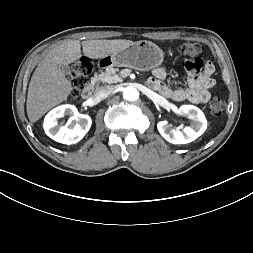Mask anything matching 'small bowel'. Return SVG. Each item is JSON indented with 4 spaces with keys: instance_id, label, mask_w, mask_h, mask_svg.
I'll use <instances>...</instances> for the list:
<instances>
[{
    "instance_id": "c3829d8e",
    "label": "small bowel",
    "mask_w": 253,
    "mask_h": 253,
    "mask_svg": "<svg viewBox=\"0 0 253 253\" xmlns=\"http://www.w3.org/2000/svg\"><path fill=\"white\" fill-rule=\"evenodd\" d=\"M179 72L183 77L188 78V88L186 89H174L167 85V70L164 67L154 69L153 76L148 83L151 88L171 100L206 104L211 97L209 90L215 85V81L211 77L212 62L201 63L198 58L185 59L179 65Z\"/></svg>"
}]
</instances>
